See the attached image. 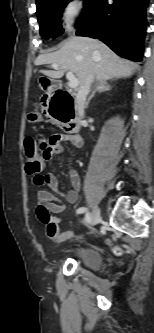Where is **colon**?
<instances>
[{
  "instance_id": "colon-1",
  "label": "colon",
  "mask_w": 154,
  "mask_h": 333,
  "mask_svg": "<svg viewBox=\"0 0 154 333\" xmlns=\"http://www.w3.org/2000/svg\"><path fill=\"white\" fill-rule=\"evenodd\" d=\"M67 98L68 97H66L65 95L56 94L54 95L51 104L55 105L63 103L67 100ZM36 119H37L36 114L30 115L31 121H36ZM57 121L65 131L71 132L70 128L67 125V120L65 118L57 119ZM24 153H25V163H26L27 172L30 174H35L39 172L42 165V161L39 155L37 143L34 138L27 137L24 140ZM47 232L50 238H55L57 236L58 230L55 221L51 220L47 223ZM112 250L117 256H120L122 254V250L118 246H112Z\"/></svg>"
}]
</instances>
